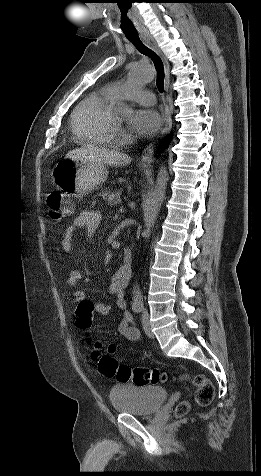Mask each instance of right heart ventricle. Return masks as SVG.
<instances>
[{"instance_id":"1","label":"right heart ventricle","mask_w":261,"mask_h":476,"mask_svg":"<svg viewBox=\"0 0 261 476\" xmlns=\"http://www.w3.org/2000/svg\"><path fill=\"white\" fill-rule=\"evenodd\" d=\"M114 99L108 90H99L76 106L71 127L79 143L105 146L114 142L117 125L110 112Z\"/></svg>"}]
</instances>
